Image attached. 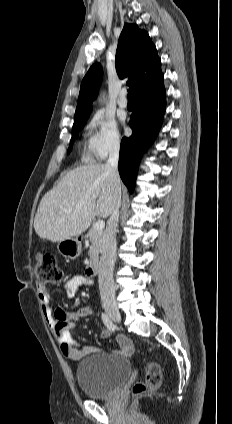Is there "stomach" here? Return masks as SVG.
<instances>
[{
	"label": "stomach",
	"instance_id": "1",
	"mask_svg": "<svg viewBox=\"0 0 232 424\" xmlns=\"http://www.w3.org/2000/svg\"><path fill=\"white\" fill-rule=\"evenodd\" d=\"M57 249L65 258L76 259L82 252L81 238L77 236L59 241Z\"/></svg>",
	"mask_w": 232,
	"mask_h": 424
}]
</instances>
